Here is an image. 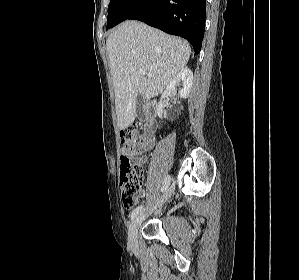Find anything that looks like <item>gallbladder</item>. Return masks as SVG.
I'll use <instances>...</instances> for the list:
<instances>
[{"instance_id":"obj_1","label":"gallbladder","mask_w":299,"mask_h":280,"mask_svg":"<svg viewBox=\"0 0 299 280\" xmlns=\"http://www.w3.org/2000/svg\"><path fill=\"white\" fill-rule=\"evenodd\" d=\"M144 103H145V99L143 98L142 95L139 94L137 96V99H136V116L139 119L143 118V106H144Z\"/></svg>"}]
</instances>
